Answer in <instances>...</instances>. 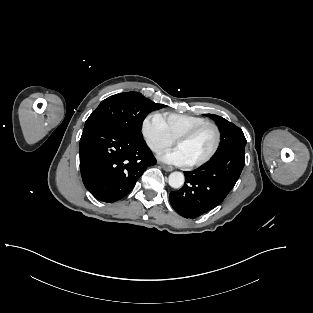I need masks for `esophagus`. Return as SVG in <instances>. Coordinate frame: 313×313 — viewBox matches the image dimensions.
Listing matches in <instances>:
<instances>
[{"mask_svg": "<svg viewBox=\"0 0 313 313\" xmlns=\"http://www.w3.org/2000/svg\"><path fill=\"white\" fill-rule=\"evenodd\" d=\"M161 168H162L163 170L167 171V172H170V171L173 170V167H172V166H168V165H164V164L161 165Z\"/></svg>", "mask_w": 313, "mask_h": 313, "instance_id": "1", "label": "esophagus"}]
</instances>
